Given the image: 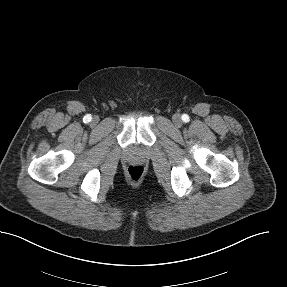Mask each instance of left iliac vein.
Masks as SVG:
<instances>
[{
  "mask_svg": "<svg viewBox=\"0 0 287 287\" xmlns=\"http://www.w3.org/2000/svg\"><path fill=\"white\" fill-rule=\"evenodd\" d=\"M172 121L177 127H180L182 125V120L179 114H174L172 117Z\"/></svg>",
  "mask_w": 287,
  "mask_h": 287,
  "instance_id": "1",
  "label": "left iliac vein"
}]
</instances>
